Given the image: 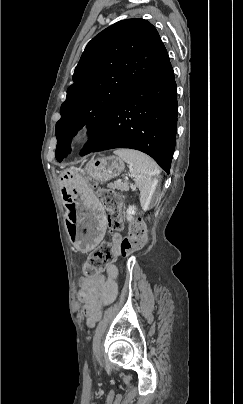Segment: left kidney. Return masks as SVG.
Returning <instances> with one entry per match:
<instances>
[{"label":"left kidney","instance_id":"5707ae66","mask_svg":"<svg viewBox=\"0 0 243 404\" xmlns=\"http://www.w3.org/2000/svg\"><path fill=\"white\" fill-rule=\"evenodd\" d=\"M136 210H137L136 206H129V208L126 212V214H127L126 218H127L128 222H131V220H133V216H135Z\"/></svg>","mask_w":243,"mask_h":404}]
</instances>
